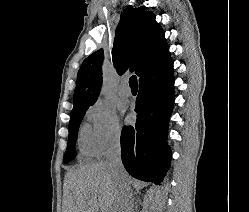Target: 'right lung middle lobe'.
<instances>
[{
  "mask_svg": "<svg viewBox=\"0 0 249 212\" xmlns=\"http://www.w3.org/2000/svg\"><path fill=\"white\" fill-rule=\"evenodd\" d=\"M89 107L82 108V109H74L71 111V120L69 123V136H68V145L67 150L64 155V163H69L72 161L75 156V142L78 133V128L80 126L81 120L85 115V111Z\"/></svg>",
  "mask_w": 249,
  "mask_h": 212,
  "instance_id": "right-lung-middle-lobe-1",
  "label": "right lung middle lobe"
}]
</instances>
